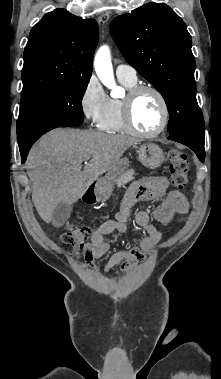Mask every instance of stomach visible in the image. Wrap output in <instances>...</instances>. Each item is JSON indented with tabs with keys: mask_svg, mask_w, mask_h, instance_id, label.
Here are the masks:
<instances>
[{
	"mask_svg": "<svg viewBox=\"0 0 221 379\" xmlns=\"http://www.w3.org/2000/svg\"><path fill=\"white\" fill-rule=\"evenodd\" d=\"M138 159L147 168L155 169L164 161L163 150L155 143H145L138 148ZM129 167L127 158L120 159L117 164L105 175L98 180L95 186V195L97 199L103 200L108 198L112 191L115 181L125 173Z\"/></svg>",
	"mask_w": 221,
	"mask_h": 379,
	"instance_id": "stomach-1",
	"label": "stomach"
}]
</instances>
